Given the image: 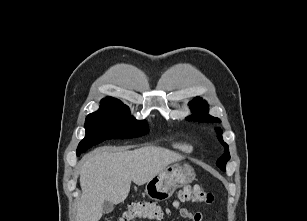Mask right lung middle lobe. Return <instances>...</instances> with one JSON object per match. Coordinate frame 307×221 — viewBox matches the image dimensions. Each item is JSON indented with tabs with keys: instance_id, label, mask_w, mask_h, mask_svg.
<instances>
[{
	"instance_id": "dd1d6c3e",
	"label": "right lung middle lobe",
	"mask_w": 307,
	"mask_h": 221,
	"mask_svg": "<svg viewBox=\"0 0 307 221\" xmlns=\"http://www.w3.org/2000/svg\"><path fill=\"white\" fill-rule=\"evenodd\" d=\"M86 136L79 143L77 156L107 139H128L148 133L146 121L136 120L124 104L101 103L85 121Z\"/></svg>"
}]
</instances>
